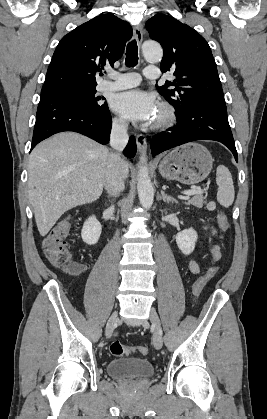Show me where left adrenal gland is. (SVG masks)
<instances>
[{
	"label": "left adrenal gland",
	"mask_w": 267,
	"mask_h": 419,
	"mask_svg": "<svg viewBox=\"0 0 267 419\" xmlns=\"http://www.w3.org/2000/svg\"><path fill=\"white\" fill-rule=\"evenodd\" d=\"M160 198H161L164 202H167V203H169V202H175V203H177V201H176L173 197L168 196L167 194H165V192H164L163 190L161 191V196H160Z\"/></svg>",
	"instance_id": "obj_1"
}]
</instances>
